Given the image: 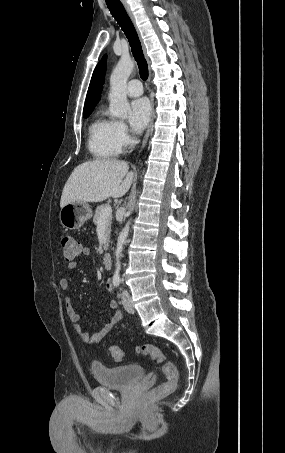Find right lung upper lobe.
<instances>
[{
    "label": "right lung upper lobe",
    "mask_w": 285,
    "mask_h": 453,
    "mask_svg": "<svg viewBox=\"0 0 285 453\" xmlns=\"http://www.w3.org/2000/svg\"><path fill=\"white\" fill-rule=\"evenodd\" d=\"M106 60L107 56L105 55L99 64L96 66L91 82L88 88L87 96H86V101H85V106H84V111H91L94 109L95 105L98 103L101 97V92L105 80V71H106Z\"/></svg>",
    "instance_id": "right-lung-upper-lobe-1"
}]
</instances>
